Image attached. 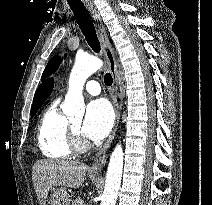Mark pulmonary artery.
Wrapping results in <instances>:
<instances>
[{"instance_id":"e3ab8cb5","label":"pulmonary artery","mask_w":212,"mask_h":205,"mask_svg":"<svg viewBox=\"0 0 212 205\" xmlns=\"http://www.w3.org/2000/svg\"><path fill=\"white\" fill-rule=\"evenodd\" d=\"M85 90L91 95H98L101 91L97 81L90 80L85 84Z\"/></svg>"}]
</instances>
